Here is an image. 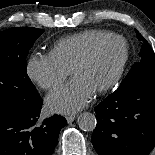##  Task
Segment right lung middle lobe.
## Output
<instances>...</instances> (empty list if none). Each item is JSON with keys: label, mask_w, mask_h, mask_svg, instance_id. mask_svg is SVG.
Segmentation results:
<instances>
[{"label": "right lung middle lobe", "mask_w": 155, "mask_h": 155, "mask_svg": "<svg viewBox=\"0 0 155 155\" xmlns=\"http://www.w3.org/2000/svg\"><path fill=\"white\" fill-rule=\"evenodd\" d=\"M43 32L32 27L0 32V108L29 109L40 97L27 75L26 57Z\"/></svg>", "instance_id": "right-lung-middle-lobe-1"}]
</instances>
